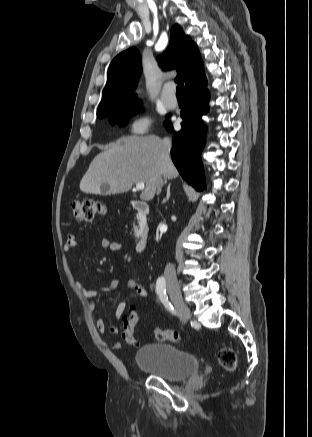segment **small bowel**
Instances as JSON below:
<instances>
[{
	"label": "small bowel",
	"instance_id": "c3829d8e",
	"mask_svg": "<svg viewBox=\"0 0 312 437\" xmlns=\"http://www.w3.org/2000/svg\"><path fill=\"white\" fill-rule=\"evenodd\" d=\"M78 245V240H77V236L75 234H69L68 238L64 244V250L66 252H70L73 249H75ZM100 245L102 248L108 250V251H112V252H118L121 251L123 249V244L117 241H113L109 238H102L100 241ZM117 280L114 279L111 281V284L109 286L106 287H84L82 286L79 282L76 283L78 289L86 296V297H94L97 294H99L100 292H111L114 291L116 289L117 286ZM127 286L128 288L133 291L135 294H137L138 297L140 298H146L148 295L147 290L141 285L139 284L137 281L130 279L127 282ZM92 309H95V304L91 303L90 304ZM128 308V303L123 301L120 302L118 304V306L116 307L115 310V318L117 320H120L124 313L126 312ZM96 327L97 329L101 332V333H105V332H109L112 334H117L119 329L117 326L115 325H111V326H107V324L105 323V321L101 318L97 319L96 321ZM111 347L113 349H120L121 348V343L119 341H114L111 344Z\"/></svg>",
	"mask_w": 312,
	"mask_h": 437
}]
</instances>
